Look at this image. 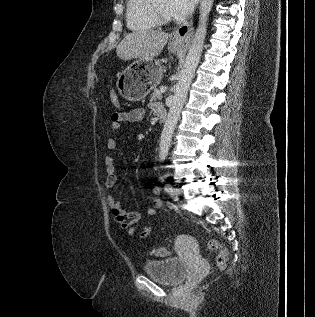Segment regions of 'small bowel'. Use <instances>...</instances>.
I'll return each instance as SVG.
<instances>
[{
  "label": "small bowel",
  "instance_id": "small-bowel-1",
  "mask_svg": "<svg viewBox=\"0 0 315 317\" xmlns=\"http://www.w3.org/2000/svg\"><path fill=\"white\" fill-rule=\"evenodd\" d=\"M150 107L154 111L163 109L164 107L156 102H152ZM145 116V110L143 108H135L127 112H113L111 114V129L113 131H118L122 124L124 123H135L143 120ZM116 141L113 138H109L106 142V149L108 151H113L116 149ZM105 164V188L110 190L114 187L117 174V165L112 156L107 155L104 158ZM155 197L152 200V207L148 208L144 213L140 212H127L123 205L113 196L109 195L107 197L108 204L111 208V212L119 224L122 230H125L129 236H133L138 229H140V238L146 239L151 232V222L149 219L153 217L157 210L162 207V200L158 197L161 193V188L155 186L152 189ZM145 218L146 221L141 223V220Z\"/></svg>",
  "mask_w": 315,
  "mask_h": 317
}]
</instances>
